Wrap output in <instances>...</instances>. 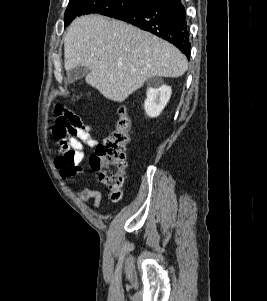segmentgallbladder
<instances>
[{"label": "gallbladder", "mask_w": 267, "mask_h": 301, "mask_svg": "<svg viewBox=\"0 0 267 301\" xmlns=\"http://www.w3.org/2000/svg\"><path fill=\"white\" fill-rule=\"evenodd\" d=\"M88 69L83 66H77L71 70L67 71V76L65 77V82L68 84L74 83L77 80L82 79L87 73Z\"/></svg>", "instance_id": "obj_1"}]
</instances>
